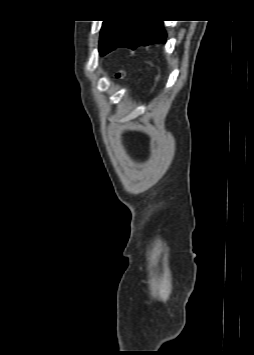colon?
Returning a JSON list of instances; mask_svg holds the SVG:
<instances>
[{
  "mask_svg": "<svg viewBox=\"0 0 254 355\" xmlns=\"http://www.w3.org/2000/svg\"><path fill=\"white\" fill-rule=\"evenodd\" d=\"M126 76V71L125 70H119L116 73V79L121 80Z\"/></svg>",
  "mask_w": 254,
  "mask_h": 355,
  "instance_id": "obj_1",
  "label": "colon"
}]
</instances>
